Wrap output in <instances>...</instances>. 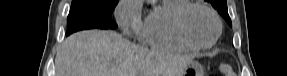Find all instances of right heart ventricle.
Segmentation results:
<instances>
[{
    "label": "right heart ventricle",
    "instance_id": "1",
    "mask_svg": "<svg viewBox=\"0 0 287 76\" xmlns=\"http://www.w3.org/2000/svg\"><path fill=\"white\" fill-rule=\"evenodd\" d=\"M188 0H162L153 6L137 35L149 48L169 52H185L191 48L177 35L174 20Z\"/></svg>",
    "mask_w": 287,
    "mask_h": 76
}]
</instances>
